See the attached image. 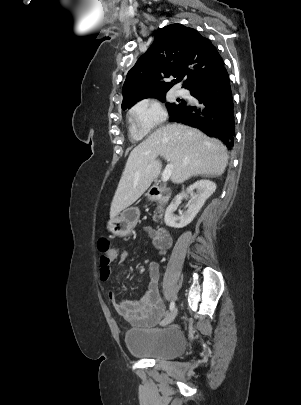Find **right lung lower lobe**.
I'll return each mask as SVG.
<instances>
[{
	"label": "right lung lower lobe",
	"mask_w": 301,
	"mask_h": 405,
	"mask_svg": "<svg viewBox=\"0 0 301 405\" xmlns=\"http://www.w3.org/2000/svg\"><path fill=\"white\" fill-rule=\"evenodd\" d=\"M200 106L184 105L170 114V121L196 127L231 148L235 140V116L230 79L224 70L212 81L191 90Z\"/></svg>",
	"instance_id": "right-lung-lower-lobe-1"
}]
</instances>
